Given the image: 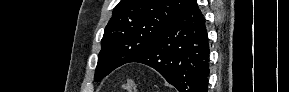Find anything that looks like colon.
<instances>
[{
  "mask_svg": "<svg viewBox=\"0 0 289 92\" xmlns=\"http://www.w3.org/2000/svg\"><path fill=\"white\" fill-rule=\"evenodd\" d=\"M121 87L126 92H137V85L133 80H125L121 82Z\"/></svg>",
  "mask_w": 289,
  "mask_h": 92,
  "instance_id": "colon-1",
  "label": "colon"
}]
</instances>
